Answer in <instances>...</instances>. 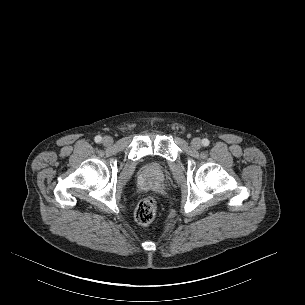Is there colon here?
Returning a JSON list of instances; mask_svg holds the SVG:
<instances>
[{
  "label": "colon",
  "instance_id": "obj_1",
  "mask_svg": "<svg viewBox=\"0 0 305 305\" xmlns=\"http://www.w3.org/2000/svg\"><path fill=\"white\" fill-rule=\"evenodd\" d=\"M157 201L153 196L142 198L135 209V219L142 225H150L156 218Z\"/></svg>",
  "mask_w": 305,
  "mask_h": 305
}]
</instances>
